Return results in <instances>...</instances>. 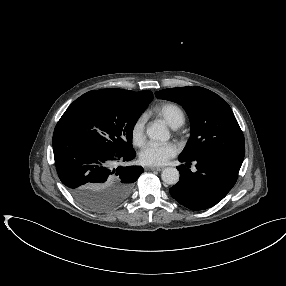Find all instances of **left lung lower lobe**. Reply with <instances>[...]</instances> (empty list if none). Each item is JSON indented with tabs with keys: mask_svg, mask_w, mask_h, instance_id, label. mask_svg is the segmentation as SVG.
<instances>
[{
	"mask_svg": "<svg viewBox=\"0 0 286 286\" xmlns=\"http://www.w3.org/2000/svg\"><path fill=\"white\" fill-rule=\"evenodd\" d=\"M180 179L169 189L171 196L191 210L208 209L221 201L236 183L243 160L222 154H205L194 160L179 157ZM197 164L196 172L189 167Z\"/></svg>",
	"mask_w": 286,
	"mask_h": 286,
	"instance_id": "1",
	"label": "left lung lower lobe"
}]
</instances>
